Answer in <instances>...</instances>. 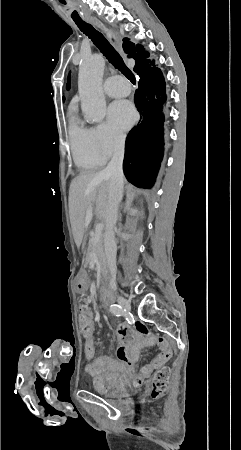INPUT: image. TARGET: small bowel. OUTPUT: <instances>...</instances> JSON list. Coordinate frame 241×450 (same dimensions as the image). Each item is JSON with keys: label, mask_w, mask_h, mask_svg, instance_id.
<instances>
[{"label": "small bowel", "mask_w": 241, "mask_h": 450, "mask_svg": "<svg viewBox=\"0 0 241 450\" xmlns=\"http://www.w3.org/2000/svg\"><path fill=\"white\" fill-rule=\"evenodd\" d=\"M79 291L86 288L85 283L80 282L77 285ZM82 317H93L92 311L87 306L81 307ZM81 317V318H82ZM80 320V325H81ZM93 324V322L91 323ZM83 337L86 333H82ZM92 335L94 333H91ZM119 345L117 347V359L114 360L107 356L94 357L96 349L94 345V336L91 342L84 340V353L90 361L86 367L87 373L92 377L93 384L98 390H105L118 385H126L137 389L143 381L157 368L162 366L170 357L171 352L167 342L159 338L157 344L161 349V354L148 365L141 368L138 374L135 373V362L138 359L141 349L152 344L148 339L149 329L143 323H136L134 327L120 324L117 328Z\"/></svg>", "instance_id": "small-bowel-1"}]
</instances>
